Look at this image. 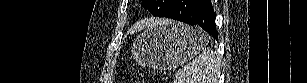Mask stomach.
Returning a JSON list of instances; mask_svg holds the SVG:
<instances>
[{"mask_svg": "<svg viewBox=\"0 0 307 83\" xmlns=\"http://www.w3.org/2000/svg\"><path fill=\"white\" fill-rule=\"evenodd\" d=\"M208 43L201 29L167 21L143 32L132 47L133 58L142 65L171 69L196 56Z\"/></svg>", "mask_w": 307, "mask_h": 83, "instance_id": "0dacf381", "label": "stomach"}]
</instances>
